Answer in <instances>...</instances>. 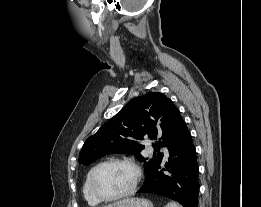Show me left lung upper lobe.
Instances as JSON below:
<instances>
[{
    "label": "left lung upper lobe",
    "instance_id": "left-lung-upper-lobe-1",
    "mask_svg": "<svg viewBox=\"0 0 261 207\" xmlns=\"http://www.w3.org/2000/svg\"><path fill=\"white\" fill-rule=\"evenodd\" d=\"M180 111L173 102L162 93L151 92L131 100L122 110L112 117L84 143L79 162L90 164L102 156L112 153L135 154L144 162L145 175L154 170L162 161L160 147L169 148L177 137L183 123ZM159 142L153 158L147 160L139 153L144 149L138 140L144 137Z\"/></svg>",
    "mask_w": 261,
    "mask_h": 207
}]
</instances>
